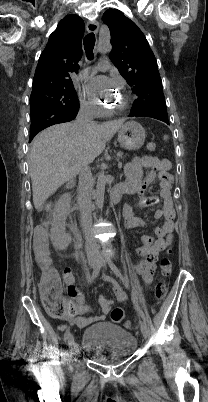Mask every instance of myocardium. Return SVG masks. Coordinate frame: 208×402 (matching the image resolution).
<instances>
[{"instance_id":"myocardium-1","label":"myocardium","mask_w":208,"mask_h":402,"mask_svg":"<svg viewBox=\"0 0 208 402\" xmlns=\"http://www.w3.org/2000/svg\"><path fill=\"white\" fill-rule=\"evenodd\" d=\"M123 95L125 97L124 102L120 105L113 104V106H112L113 110H115L117 112H124V111H127L130 109V107L132 106V103H133V97L127 91H125Z\"/></svg>"}]
</instances>
